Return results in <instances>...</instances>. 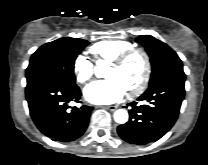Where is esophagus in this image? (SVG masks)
Segmentation results:
<instances>
[{
  "mask_svg": "<svg viewBox=\"0 0 208 165\" xmlns=\"http://www.w3.org/2000/svg\"><path fill=\"white\" fill-rule=\"evenodd\" d=\"M96 108H104V109H107V110H110V111H114L118 108L117 105H112V106H97Z\"/></svg>",
  "mask_w": 208,
  "mask_h": 165,
  "instance_id": "1",
  "label": "esophagus"
}]
</instances>
